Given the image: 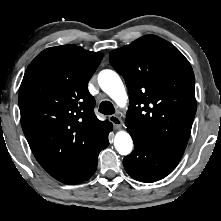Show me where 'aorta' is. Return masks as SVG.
<instances>
[{"label":"aorta","mask_w":221,"mask_h":221,"mask_svg":"<svg viewBox=\"0 0 221 221\" xmlns=\"http://www.w3.org/2000/svg\"><path fill=\"white\" fill-rule=\"evenodd\" d=\"M98 82L101 89L108 94L119 106H124L128 96L119 75L112 70H103L99 73ZM114 146L121 155H128L133 149L131 136L125 131L115 135Z\"/></svg>","instance_id":"762f6f07"}]
</instances>
